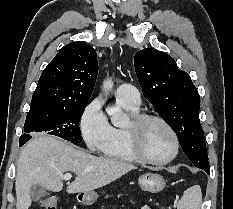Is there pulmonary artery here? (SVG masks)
<instances>
[{"label": "pulmonary artery", "instance_id": "pulmonary-artery-1", "mask_svg": "<svg viewBox=\"0 0 233 209\" xmlns=\"http://www.w3.org/2000/svg\"><path fill=\"white\" fill-rule=\"evenodd\" d=\"M116 98L132 106H140L141 99L137 88L129 83L121 84L116 90Z\"/></svg>", "mask_w": 233, "mask_h": 209}]
</instances>
